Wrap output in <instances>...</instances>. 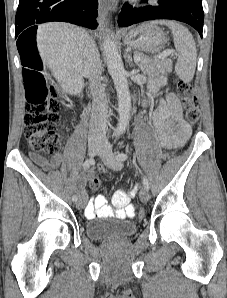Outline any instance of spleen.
Listing matches in <instances>:
<instances>
[{"label":"spleen","mask_w":227,"mask_h":298,"mask_svg":"<svg viewBox=\"0 0 227 298\" xmlns=\"http://www.w3.org/2000/svg\"><path fill=\"white\" fill-rule=\"evenodd\" d=\"M155 23L168 26L173 34V41L178 52L175 72L184 82H190L195 73L197 50L195 41L189 30L178 22L170 20Z\"/></svg>","instance_id":"obj_1"}]
</instances>
